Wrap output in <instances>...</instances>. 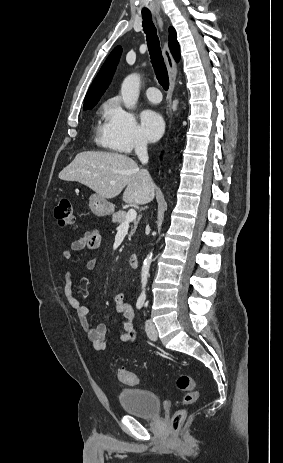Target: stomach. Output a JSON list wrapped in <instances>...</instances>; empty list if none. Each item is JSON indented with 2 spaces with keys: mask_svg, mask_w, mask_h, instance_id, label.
Returning <instances> with one entry per match:
<instances>
[{
  "mask_svg": "<svg viewBox=\"0 0 283 463\" xmlns=\"http://www.w3.org/2000/svg\"><path fill=\"white\" fill-rule=\"evenodd\" d=\"M89 208L93 214L99 217L110 215L114 211L113 204L97 193L90 196Z\"/></svg>",
  "mask_w": 283,
  "mask_h": 463,
  "instance_id": "0dacf381",
  "label": "stomach"
}]
</instances>
